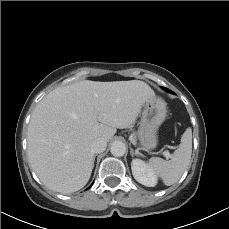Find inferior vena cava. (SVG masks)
Instances as JSON below:
<instances>
[{"label": "inferior vena cava", "instance_id": "1", "mask_svg": "<svg viewBox=\"0 0 229 229\" xmlns=\"http://www.w3.org/2000/svg\"><path fill=\"white\" fill-rule=\"evenodd\" d=\"M107 147V141L104 138H96L91 143L92 153H102Z\"/></svg>", "mask_w": 229, "mask_h": 229}]
</instances>
